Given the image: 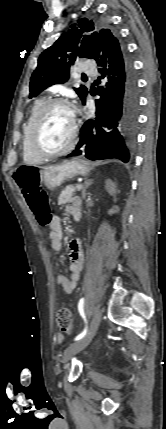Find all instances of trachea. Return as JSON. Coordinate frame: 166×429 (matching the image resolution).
Listing matches in <instances>:
<instances>
[{
    "label": "trachea",
    "mask_w": 166,
    "mask_h": 429,
    "mask_svg": "<svg viewBox=\"0 0 166 429\" xmlns=\"http://www.w3.org/2000/svg\"><path fill=\"white\" fill-rule=\"evenodd\" d=\"M82 80H83V81H86V80H87V77H86V76H83V77H82Z\"/></svg>",
    "instance_id": "obj_1"
}]
</instances>
